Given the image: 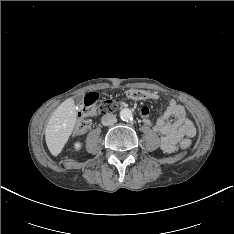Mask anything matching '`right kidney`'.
Segmentation results:
<instances>
[{"label": "right kidney", "mask_w": 234, "mask_h": 234, "mask_svg": "<svg viewBox=\"0 0 234 234\" xmlns=\"http://www.w3.org/2000/svg\"><path fill=\"white\" fill-rule=\"evenodd\" d=\"M81 147H82V144L79 141L74 143L75 151H79L81 149Z\"/></svg>", "instance_id": "ca27d5eb"}]
</instances>
